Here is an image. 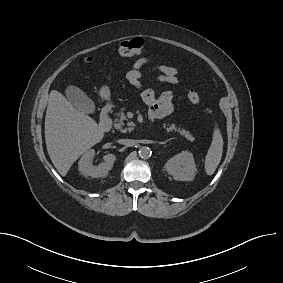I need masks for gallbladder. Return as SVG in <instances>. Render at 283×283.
<instances>
[{"label": "gallbladder", "mask_w": 283, "mask_h": 283, "mask_svg": "<svg viewBox=\"0 0 283 283\" xmlns=\"http://www.w3.org/2000/svg\"><path fill=\"white\" fill-rule=\"evenodd\" d=\"M65 94L68 100L80 111L93 114L95 111L94 102L80 88L69 85Z\"/></svg>", "instance_id": "1"}]
</instances>
